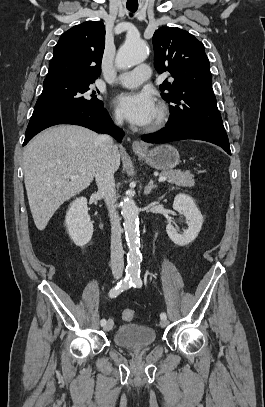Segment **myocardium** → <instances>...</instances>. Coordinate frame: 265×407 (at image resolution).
Returning <instances> with one entry per match:
<instances>
[{
    "label": "myocardium",
    "instance_id": "f54148a6",
    "mask_svg": "<svg viewBox=\"0 0 265 407\" xmlns=\"http://www.w3.org/2000/svg\"><path fill=\"white\" fill-rule=\"evenodd\" d=\"M157 117L156 119L145 127V131L153 132L161 129L169 118V109L163 102H159L157 105Z\"/></svg>",
    "mask_w": 265,
    "mask_h": 407
}]
</instances>
